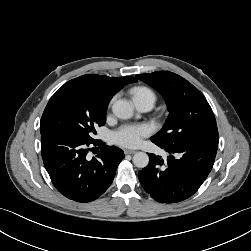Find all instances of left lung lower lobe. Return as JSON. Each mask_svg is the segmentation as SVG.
<instances>
[{
	"label": "left lung lower lobe",
	"instance_id": "1",
	"mask_svg": "<svg viewBox=\"0 0 251 251\" xmlns=\"http://www.w3.org/2000/svg\"><path fill=\"white\" fill-rule=\"evenodd\" d=\"M152 142L179 158L170 155L164 162L161 156L149 154L148 166L139 171L145 191L161 203H177L192 196L213 167L218 141L199 139L171 147Z\"/></svg>",
	"mask_w": 251,
	"mask_h": 251
}]
</instances>
